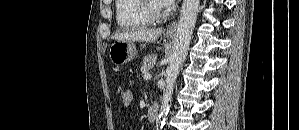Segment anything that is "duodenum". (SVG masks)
<instances>
[{
	"mask_svg": "<svg viewBox=\"0 0 299 130\" xmlns=\"http://www.w3.org/2000/svg\"><path fill=\"white\" fill-rule=\"evenodd\" d=\"M158 116V106L151 104L147 110V120L151 123L155 122Z\"/></svg>",
	"mask_w": 299,
	"mask_h": 130,
	"instance_id": "1",
	"label": "duodenum"
}]
</instances>
